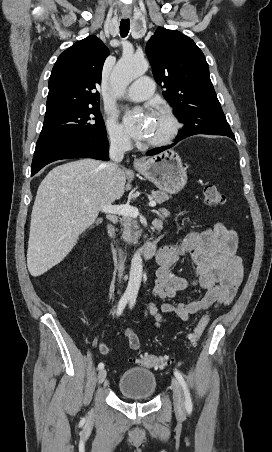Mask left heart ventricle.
Returning a JSON list of instances; mask_svg holds the SVG:
<instances>
[{"label": "left heart ventricle", "instance_id": "b2bd125f", "mask_svg": "<svg viewBox=\"0 0 272 452\" xmlns=\"http://www.w3.org/2000/svg\"><path fill=\"white\" fill-rule=\"evenodd\" d=\"M169 129V123L167 119L160 113H158L151 122L150 132L147 136V141L156 140L166 134Z\"/></svg>", "mask_w": 272, "mask_h": 452}]
</instances>
